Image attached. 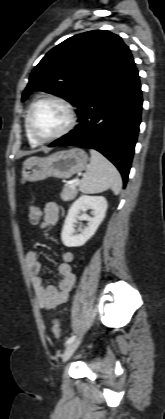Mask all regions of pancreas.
I'll return each instance as SVG.
<instances>
[{
  "label": "pancreas",
  "instance_id": "obj_1",
  "mask_svg": "<svg viewBox=\"0 0 165 419\" xmlns=\"http://www.w3.org/2000/svg\"><path fill=\"white\" fill-rule=\"evenodd\" d=\"M78 185V184H77ZM77 185L74 184H65L63 190L60 194L61 199L63 201H71L73 200L78 194Z\"/></svg>",
  "mask_w": 165,
  "mask_h": 419
}]
</instances>
